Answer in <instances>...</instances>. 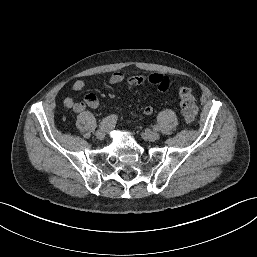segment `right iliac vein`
Wrapping results in <instances>:
<instances>
[{
	"label": "right iliac vein",
	"mask_w": 257,
	"mask_h": 257,
	"mask_svg": "<svg viewBox=\"0 0 257 257\" xmlns=\"http://www.w3.org/2000/svg\"><path fill=\"white\" fill-rule=\"evenodd\" d=\"M107 129L106 128H100L96 131V138L99 140H103L106 135Z\"/></svg>",
	"instance_id": "obj_1"
}]
</instances>
